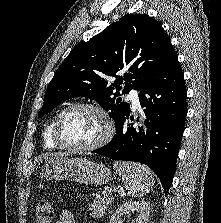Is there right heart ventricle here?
<instances>
[{"label":"right heart ventricle","instance_id":"obj_1","mask_svg":"<svg viewBox=\"0 0 221 223\" xmlns=\"http://www.w3.org/2000/svg\"><path fill=\"white\" fill-rule=\"evenodd\" d=\"M58 116V113H56L52 119L49 121V123L47 124L45 130H44V145L47 148H57L58 145L57 143L53 140L52 137V132H53V127L55 124V120Z\"/></svg>","mask_w":221,"mask_h":223}]
</instances>
